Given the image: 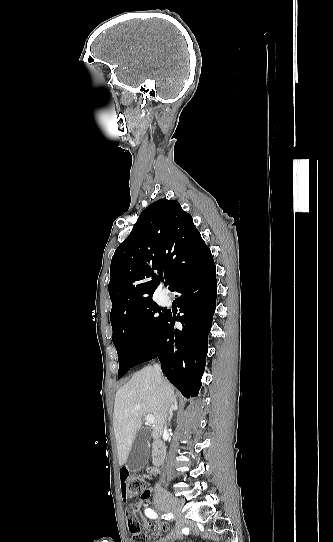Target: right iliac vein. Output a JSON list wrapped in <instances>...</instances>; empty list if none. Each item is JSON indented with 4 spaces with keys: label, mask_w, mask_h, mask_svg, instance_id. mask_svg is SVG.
Instances as JSON below:
<instances>
[{
    "label": "right iliac vein",
    "mask_w": 333,
    "mask_h": 542,
    "mask_svg": "<svg viewBox=\"0 0 333 542\" xmlns=\"http://www.w3.org/2000/svg\"><path fill=\"white\" fill-rule=\"evenodd\" d=\"M156 505L159 510L172 512L179 517V521L177 522L175 528V538H180L182 536L181 530L183 528L181 523L182 503L179 501V499L169 496L168 494H164V500L158 501Z\"/></svg>",
    "instance_id": "1"
}]
</instances>
